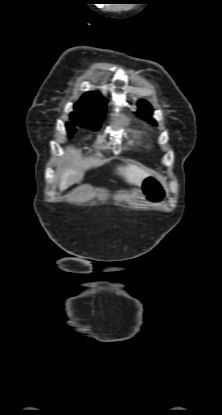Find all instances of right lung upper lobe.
Here are the masks:
<instances>
[{
  "mask_svg": "<svg viewBox=\"0 0 222 415\" xmlns=\"http://www.w3.org/2000/svg\"><path fill=\"white\" fill-rule=\"evenodd\" d=\"M106 99L101 96L98 91L86 92L78 102L75 103L74 108H82L90 111L105 110Z\"/></svg>",
  "mask_w": 222,
  "mask_h": 415,
  "instance_id": "1",
  "label": "right lung upper lobe"
}]
</instances>
